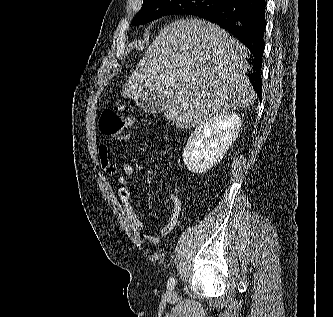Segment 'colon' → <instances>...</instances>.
I'll list each match as a JSON object with an SVG mask.
<instances>
[{"mask_svg": "<svg viewBox=\"0 0 333 317\" xmlns=\"http://www.w3.org/2000/svg\"><path fill=\"white\" fill-rule=\"evenodd\" d=\"M134 117L124 105H114L106 108L100 118L99 128L105 136H118L130 128Z\"/></svg>", "mask_w": 333, "mask_h": 317, "instance_id": "1", "label": "colon"}]
</instances>
